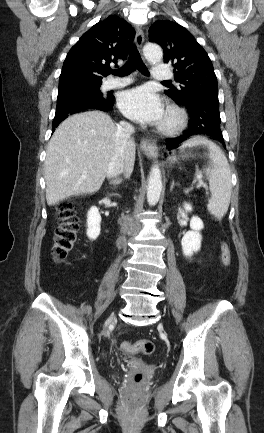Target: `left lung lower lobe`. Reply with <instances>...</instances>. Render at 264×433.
<instances>
[{
	"instance_id": "0a47b994",
	"label": "left lung lower lobe",
	"mask_w": 264,
	"mask_h": 433,
	"mask_svg": "<svg viewBox=\"0 0 264 433\" xmlns=\"http://www.w3.org/2000/svg\"><path fill=\"white\" fill-rule=\"evenodd\" d=\"M179 104L184 105L188 110L190 116L189 129L179 137L166 139L168 150L177 148L180 143L194 135L209 136L220 141L225 146L220 128L221 119L218 100L195 97Z\"/></svg>"
}]
</instances>
